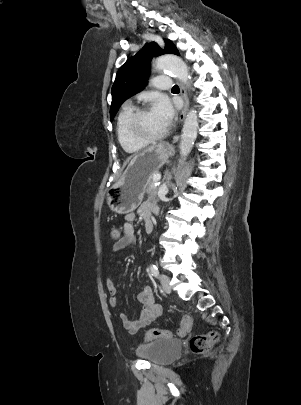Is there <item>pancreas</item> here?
<instances>
[{
    "instance_id": "pancreas-1",
    "label": "pancreas",
    "mask_w": 301,
    "mask_h": 405,
    "mask_svg": "<svg viewBox=\"0 0 301 405\" xmlns=\"http://www.w3.org/2000/svg\"><path fill=\"white\" fill-rule=\"evenodd\" d=\"M154 175H156V174H154ZM154 175L152 176L151 183L147 187L146 193H147V197H148L149 201L157 202V201H159V199L157 198L158 188L153 185L155 183V181L153 180Z\"/></svg>"
}]
</instances>
